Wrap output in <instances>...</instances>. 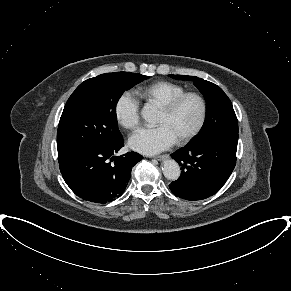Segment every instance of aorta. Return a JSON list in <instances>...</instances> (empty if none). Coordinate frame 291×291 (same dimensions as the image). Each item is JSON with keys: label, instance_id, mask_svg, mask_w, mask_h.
<instances>
[{"label": "aorta", "instance_id": "762f6f07", "mask_svg": "<svg viewBox=\"0 0 291 291\" xmlns=\"http://www.w3.org/2000/svg\"><path fill=\"white\" fill-rule=\"evenodd\" d=\"M142 118L149 124L156 121L157 110L154 106L146 104L141 111ZM162 171L168 180L175 181L180 176L179 164L173 159H167L163 162Z\"/></svg>", "mask_w": 291, "mask_h": 291}]
</instances>
